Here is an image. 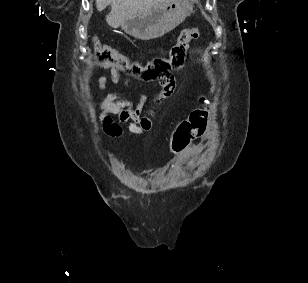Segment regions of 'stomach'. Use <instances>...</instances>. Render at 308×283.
I'll list each match as a JSON object with an SVG mask.
<instances>
[{
	"label": "stomach",
	"mask_w": 308,
	"mask_h": 283,
	"mask_svg": "<svg viewBox=\"0 0 308 283\" xmlns=\"http://www.w3.org/2000/svg\"><path fill=\"white\" fill-rule=\"evenodd\" d=\"M192 11V0H166L128 17L121 28L134 38L150 40L175 29Z\"/></svg>",
	"instance_id": "stomach-1"
}]
</instances>
